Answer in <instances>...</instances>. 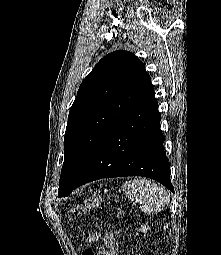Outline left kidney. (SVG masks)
Returning <instances> with one entry per match:
<instances>
[{
  "instance_id": "5707ae66",
  "label": "left kidney",
  "mask_w": 221,
  "mask_h": 255,
  "mask_svg": "<svg viewBox=\"0 0 221 255\" xmlns=\"http://www.w3.org/2000/svg\"><path fill=\"white\" fill-rule=\"evenodd\" d=\"M148 230V227L145 225V226H142L140 231H142L143 233L147 232Z\"/></svg>"
}]
</instances>
